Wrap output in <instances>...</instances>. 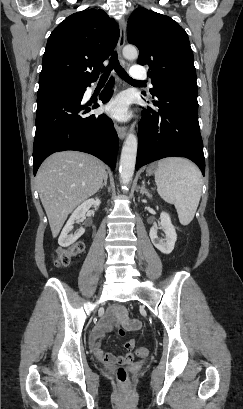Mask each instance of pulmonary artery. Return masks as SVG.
I'll use <instances>...</instances> for the list:
<instances>
[{
	"label": "pulmonary artery",
	"mask_w": 243,
	"mask_h": 409,
	"mask_svg": "<svg viewBox=\"0 0 243 409\" xmlns=\"http://www.w3.org/2000/svg\"><path fill=\"white\" fill-rule=\"evenodd\" d=\"M131 76L134 79L141 80L146 78V73L143 70L138 69V66H136L135 69L132 70Z\"/></svg>",
	"instance_id": "obj_1"
}]
</instances>
